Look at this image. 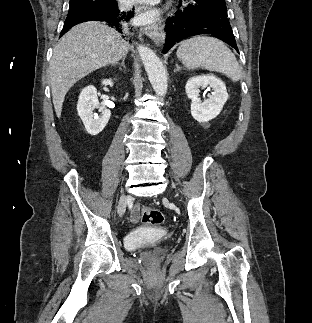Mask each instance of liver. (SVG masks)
Instances as JSON below:
<instances>
[{
  "mask_svg": "<svg viewBox=\"0 0 312 323\" xmlns=\"http://www.w3.org/2000/svg\"><path fill=\"white\" fill-rule=\"evenodd\" d=\"M128 50V42L106 22H83L71 28L53 48L49 66L57 118H61L65 96L76 82L108 64H118Z\"/></svg>",
  "mask_w": 312,
  "mask_h": 323,
  "instance_id": "liver-1",
  "label": "liver"
}]
</instances>
